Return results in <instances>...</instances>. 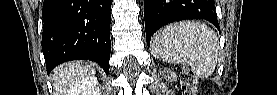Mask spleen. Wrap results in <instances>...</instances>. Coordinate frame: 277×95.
<instances>
[{
	"label": "spleen",
	"mask_w": 277,
	"mask_h": 95,
	"mask_svg": "<svg viewBox=\"0 0 277 95\" xmlns=\"http://www.w3.org/2000/svg\"><path fill=\"white\" fill-rule=\"evenodd\" d=\"M218 37L205 24L182 21L166 26L156 35L152 54L170 64L190 66L200 78L212 75L217 64Z\"/></svg>",
	"instance_id": "spleen-1"
}]
</instances>
